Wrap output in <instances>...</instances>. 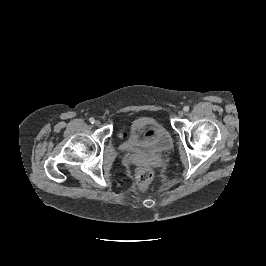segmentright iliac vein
Returning a JSON list of instances; mask_svg holds the SVG:
<instances>
[{
    "label": "right iliac vein",
    "mask_w": 266,
    "mask_h": 266,
    "mask_svg": "<svg viewBox=\"0 0 266 266\" xmlns=\"http://www.w3.org/2000/svg\"><path fill=\"white\" fill-rule=\"evenodd\" d=\"M101 124V122L99 120L95 121V125L99 126Z\"/></svg>",
    "instance_id": "right-iliac-vein-1"
}]
</instances>
